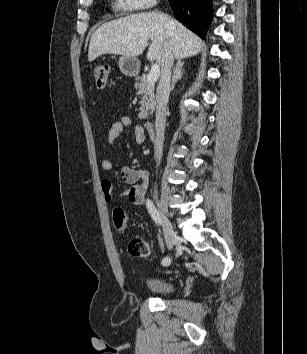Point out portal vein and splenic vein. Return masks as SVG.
Segmentation results:
<instances>
[{"instance_id":"portal-vein-and-splenic-vein-1","label":"portal vein and splenic vein","mask_w":307,"mask_h":354,"mask_svg":"<svg viewBox=\"0 0 307 354\" xmlns=\"http://www.w3.org/2000/svg\"><path fill=\"white\" fill-rule=\"evenodd\" d=\"M160 75V68L159 65L157 63L153 64L151 67V70L148 74L147 80L150 83H154Z\"/></svg>"}]
</instances>
